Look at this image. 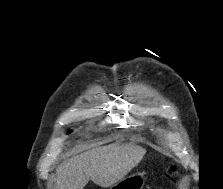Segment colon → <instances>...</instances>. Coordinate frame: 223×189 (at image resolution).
Segmentation results:
<instances>
[{
  "label": "colon",
  "instance_id": "obj_1",
  "mask_svg": "<svg viewBox=\"0 0 223 189\" xmlns=\"http://www.w3.org/2000/svg\"><path fill=\"white\" fill-rule=\"evenodd\" d=\"M168 174H169L170 176H176V175H177V170H176V168H175L174 166L169 167V169H168ZM156 189H163V188L159 187V188H156Z\"/></svg>",
  "mask_w": 223,
  "mask_h": 189
}]
</instances>
